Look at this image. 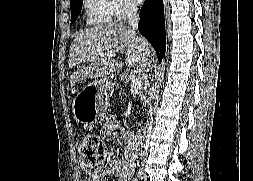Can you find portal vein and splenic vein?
Instances as JSON below:
<instances>
[{
	"label": "portal vein and splenic vein",
	"mask_w": 253,
	"mask_h": 181,
	"mask_svg": "<svg viewBox=\"0 0 253 181\" xmlns=\"http://www.w3.org/2000/svg\"><path fill=\"white\" fill-rule=\"evenodd\" d=\"M101 57L107 56L113 58L116 56L115 53H102ZM129 79L131 80V91L138 92L142 88V82L139 78H137L134 74L129 75Z\"/></svg>",
	"instance_id": "portal-vein-and-splenic-vein-1"
}]
</instances>
